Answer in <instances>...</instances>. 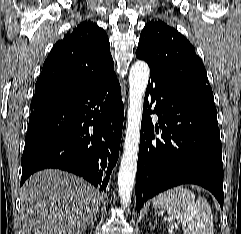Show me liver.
I'll return each instance as SVG.
<instances>
[{
    "label": "liver",
    "instance_id": "obj_1",
    "mask_svg": "<svg viewBox=\"0 0 241 234\" xmlns=\"http://www.w3.org/2000/svg\"><path fill=\"white\" fill-rule=\"evenodd\" d=\"M100 192L73 174L46 169L21 189L23 234H81L99 211Z\"/></svg>",
    "mask_w": 241,
    "mask_h": 234
}]
</instances>
